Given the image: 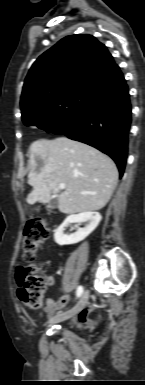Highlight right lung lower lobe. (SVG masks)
I'll list each match as a JSON object with an SVG mask.
<instances>
[{"instance_id": "1", "label": "right lung lower lobe", "mask_w": 145, "mask_h": 385, "mask_svg": "<svg viewBox=\"0 0 145 385\" xmlns=\"http://www.w3.org/2000/svg\"><path fill=\"white\" fill-rule=\"evenodd\" d=\"M128 86L119 78L94 91L85 106L53 133L91 145L109 155L123 175L131 125Z\"/></svg>"}]
</instances>
